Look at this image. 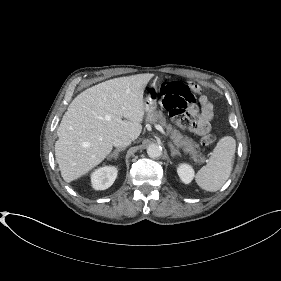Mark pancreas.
Here are the masks:
<instances>
[{
  "label": "pancreas",
  "mask_w": 281,
  "mask_h": 281,
  "mask_svg": "<svg viewBox=\"0 0 281 281\" xmlns=\"http://www.w3.org/2000/svg\"><path fill=\"white\" fill-rule=\"evenodd\" d=\"M146 122L150 124H160L163 126L167 133L171 135V139L178 147H183L186 153H189L195 163H201L204 161L203 155L197 150L199 145L195 143L191 138L184 136L179 130L175 129L171 124H167L166 118L161 111L148 112L146 116Z\"/></svg>",
  "instance_id": "cf45deb5"
}]
</instances>
